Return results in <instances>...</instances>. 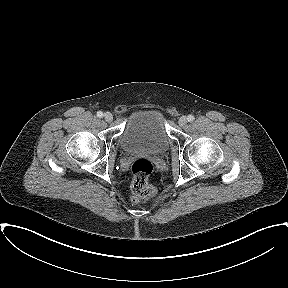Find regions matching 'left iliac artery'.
<instances>
[{
    "instance_id": "44dca946",
    "label": "left iliac artery",
    "mask_w": 288,
    "mask_h": 288,
    "mask_svg": "<svg viewBox=\"0 0 288 288\" xmlns=\"http://www.w3.org/2000/svg\"><path fill=\"white\" fill-rule=\"evenodd\" d=\"M194 116L193 115H189L188 117H187V120L189 121V122H192V121H194Z\"/></svg>"
}]
</instances>
